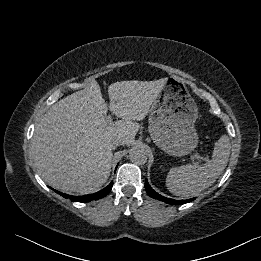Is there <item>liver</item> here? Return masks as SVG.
Listing matches in <instances>:
<instances>
[{
    "label": "liver",
    "mask_w": 261,
    "mask_h": 261,
    "mask_svg": "<svg viewBox=\"0 0 261 261\" xmlns=\"http://www.w3.org/2000/svg\"><path fill=\"white\" fill-rule=\"evenodd\" d=\"M166 83L120 81L108 87L109 108L121 120L106 123L108 106L97 81L51 106L35 128L31 152L42 179L69 194L97 192L112 166L111 142L131 145L140 120Z\"/></svg>",
    "instance_id": "liver-1"
}]
</instances>
